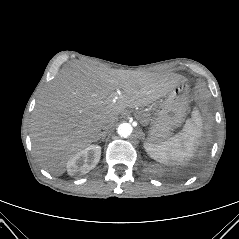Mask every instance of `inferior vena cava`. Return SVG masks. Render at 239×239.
<instances>
[{
  "label": "inferior vena cava",
  "mask_w": 239,
  "mask_h": 239,
  "mask_svg": "<svg viewBox=\"0 0 239 239\" xmlns=\"http://www.w3.org/2000/svg\"><path fill=\"white\" fill-rule=\"evenodd\" d=\"M114 125V121L107 120L102 123L101 128L105 131L109 130Z\"/></svg>",
  "instance_id": "obj_1"
}]
</instances>
